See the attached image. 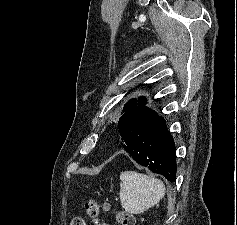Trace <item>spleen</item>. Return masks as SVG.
<instances>
[{"label":"spleen","instance_id":"3e777b00","mask_svg":"<svg viewBox=\"0 0 237 225\" xmlns=\"http://www.w3.org/2000/svg\"><path fill=\"white\" fill-rule=\"evenodd\" d=\"M120 180V202L128 213L141 214L165 195L164 183L145 174L125 171L121 173Z\"/></svg>","mask_w":237,"mask_h":225}]
</instances>
